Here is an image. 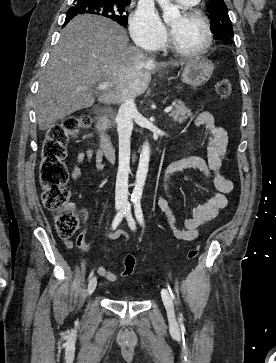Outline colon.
I'll list each match as a JSON object with an SVG mask.
<instances>
[{
    "label": "colon",
    "mask_w": 276,
    "mask_h": 363,
    "mask_svg": "<svg viewBox=\"0 0 276 363\" xmlns=\"http://www.w3.org/2000/svg\"><path fill=\"white\" fill-rule=\"evenodd\" d=\"M216 93L221 98H227L232 92L231 82L223 79L215 86ZM90 124L87 116H70L61 123L49 128L41 149V164L39 169V181L42 188V202L45 208L55 214V229L61 238L72 237L79 225L77 211L68 205L70 191L66 187L69 173L64 160L67 155L66 146L82 127ZM198 249L191 248L187 258L197 256ZM124 275H129L135 267V258L128 255L124 259Z\"/></svg>",
    "instance_id": "5ec220e1"
}]
</instances>
